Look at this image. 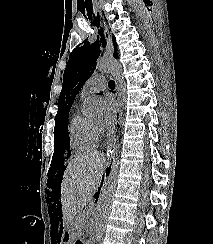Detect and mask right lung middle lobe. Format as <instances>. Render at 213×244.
Masks as SVG:
<instances>
[{"instance_id":"1","label":"right lung middle lobe","mask_w":213,"mask_h":244,"mask_svg":"<svg viewBox=\"0 0 213 244\" xmlns=\"http://www.w3.org/2000/svg\"><path fill=\"white\" fill-rule=\"evenodd\" d=\"M56 135L54 137V154L51 162V167L48 172L49 179L54 178L57 179L58 173L64 168V160L65 158H69L71 155L69 151V139L67 137V144H64L62 138L55 128ZM59 132V131H58Z\"/></svg>"}]
</instances>
